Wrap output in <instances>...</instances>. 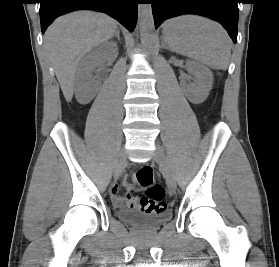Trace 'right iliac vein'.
Returning <instances> with one entry per match:
<instances>
[{"mask_svg": "<svg viewBox=\"0 0 279 267\" xmlns=\"http://www.w3.org/2000/svg\"><path fill=\"white\" fill-rule=\"evenodd\" d=\"M125 165H126V153H125V151H121L118 155V158H117L116 164H115V168H114L115 179L119 178Z\"/></svg>", "mask_w": 279, "mask_h": 267, "instance_id": "right-iliac-vein-1", "label": "right iliac vein"}]
</instances>
